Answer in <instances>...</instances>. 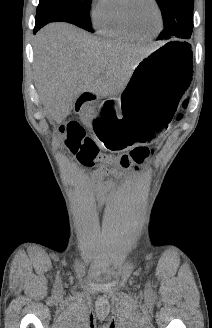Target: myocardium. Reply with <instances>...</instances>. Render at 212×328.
Listing matches in <instances>:
<instances>
[{
    "mask_svg": "<svg viewBox=\"0 0 212 328\" xmlns=\"http://www.w3.org/2000/svg\"><path fill=\"white\" fill-rule=\"evenodd\" d=\"M150 1L152 2L154 7L156 8V11H157L158 16H159V27L155 31V33H157L163 27L164 17H163L162 9H161L158 1L157 0H150ZM134 2H135V0H124L123 15H124L125 22L129 26V28L132 31H134L135 33L141 34V33H143V31L135 24V22L132 18L131 9H132V5H133Z\"/></svg>",
    "mask_w": 212,
    "mask_h": 328,
    "instance_id": "myocardium-1",
    "label": "myocardium"
}]
</instances>
